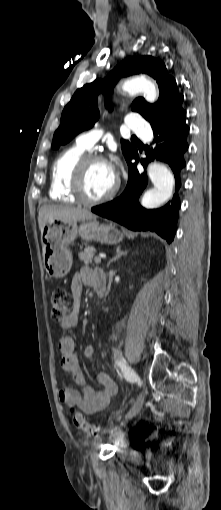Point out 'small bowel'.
I'll list each match as a JSON object with an SVG mask.
<instances>
[{
	"label": "small bowel",
	"mask_w": 221,
	"mask_h": 510,
	"mask_svg": "<svg viewBox=\"0 0 221 510\" xmlns=\"http://www.w3.org/2000/svg\"><path fill=\"white\" fill-rule=\"evenodd\" d=\"M94 273L95 269L84 267L73 277L71 292L74 298V307L68 315L60 320L59 325L61 328L69 329L77 325L83 287L94 286ZM58 346L61 353L60 365L63 372L80 387V390L61 388L58 391L59 400L69 407L79 408L86 415H92L105 409L117 393V386L114 380L107 373L99 372L97 374V381L101 389L99 391L94 390L85 383L75 353L74 339L71 336H62L59 339ZM94 352L95 348L93 345L88 344L84 347V357L91 358Z\"/></svg>",
	"instance_id": "obj_1"
}]
</instances>
